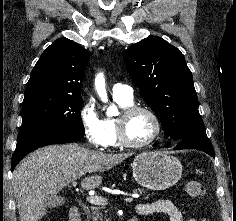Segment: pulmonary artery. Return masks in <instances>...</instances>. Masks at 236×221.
<instances>
[{
  "mask_svg": "<svg viewBox=\"0 0 236 221\" xmlns=\"http://www.w3.org/2000/svg\"><path fill=\"white\" fill-rule=\"evenodd\" d=\"M112 95L114 98L132 101L133 89L128 85L117 83L112 88Z\"/></svg>",
  "mask_w": 236,
  "mask_h": 221,
  "instance_id": "obj_1",
  "label": "pulmonary artery"
}]
</instances>
